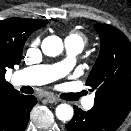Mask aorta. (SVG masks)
Segmentation results:
<instances>
[{
  "label": "aorta",
  "instance_id": "aorta-1",
  "mask_svg": "<svg viewBox=\"0 0 131 131\" xmlns=\"http://www.w3.org/2000/svg\"><path fill=\"white\" fill-rule=\"evenodd\" d=\"M45 55L50 57L58 56L63 51V42L58 36L46 37L41 45ZM56 117L61 121H68L73 117V108L68 104H60L55 110Z\"/></svg>",
  "mask_w": 131,
  "mask_h": 131
}]
</instances>
